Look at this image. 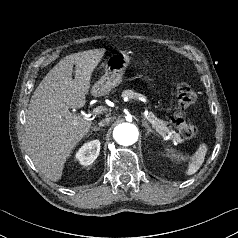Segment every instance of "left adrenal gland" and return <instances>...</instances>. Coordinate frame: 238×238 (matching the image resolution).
<instances>
[{
    "mask_svg": "<svg viewBox=\"0 0 238 238\" xmlns=\"http://www.w3.org/2000/svg\"><path fill=\"white\" fill-rule=\"evenodd\" d=\"M142 124H143V126H145V127L147 128V132H146V135H147V136H148L150 133H154V134H155V132L151 129V127L149 126V124L147 123L146 120H143V121H142Z\"/></svg>",
    "mask_w": 238,
    "mask_h": 238,
    "instance_id": "a2214340",
    "label": "left adrenal gland"
}]
</instances>
